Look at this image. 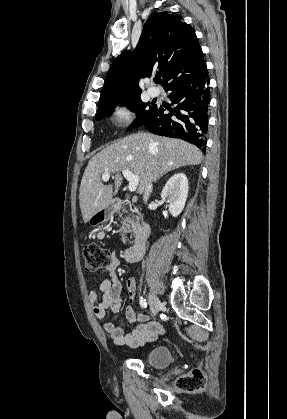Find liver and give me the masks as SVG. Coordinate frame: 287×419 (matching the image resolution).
Wrapping results in <instances>:
<instances>
[{
	"label": "liver",
	"mask_w": 287,
	"mask_h": 419,
	"mask_svg": "<svg viewBox=\"0 0 287 419\" xmlns=\"http://www.w3.org/2000/svg\"><path fill=\"white\" fill-rule=\"evenodd\" d=\"M202 153L183 140L138 132L107 146L89 161L79 189L83 221L87 223L97 211L112 202L123 182L122 170L140 177L139 193H144L151 181L187 165L201 163ZM113 174L114 186L103 185V174Z\"/></svg>",
	"instance_id": "1"
}]
</instances>
